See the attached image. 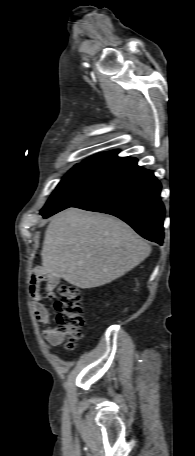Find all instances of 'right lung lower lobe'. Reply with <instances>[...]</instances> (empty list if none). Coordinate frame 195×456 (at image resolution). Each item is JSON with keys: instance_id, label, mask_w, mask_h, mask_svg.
Listing matches in <instances>:
<instances>
[{"instance_id": "obj_1", "label": "right lung lower lobe", "mask_w": 195, "mask_h": 456, "mask_svg": "<svg viewBox=\"0 0 195 456\" xmlns=\"http://www.w3.org/2000/svg\"><path fill=\"white\" fill-rule=\"evenodd\" d=\"M161 184L153 172L133 165L101 190L73 207L114 215L142 237L163 243L165 208L160 200ZM49 217L45 211H41Z\"/></svg>"}]
</instances>
